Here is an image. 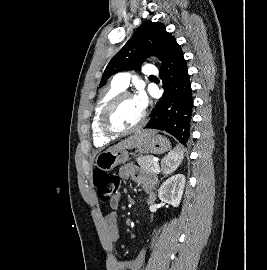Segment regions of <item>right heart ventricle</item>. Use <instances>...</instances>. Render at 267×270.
Returning a JSON list of instances; mask_svg holds the SVG:
<instances>
[{"mask_svg":"<svg viewBox=\"0 0 267 270\" xmlns=\"http://www.w3.org/2000/svg\"><path fill=\"white\" fill-rule=\"evenodd\" d=\"M123 89H121L119 86H117L114 82L110 84V86L104 90V92L99 97L95 108L94 113L92 117V138L93 142L97 147H102L107 144H109L113 138L105 136L101 129H100V115L102 113V110L106 106V104L117 94L122 92Z\"/></svg>","mask_w":267,"mask_h":270,"instance_id":"obj_1","label":"right heart ventricle"}]
</instances>
